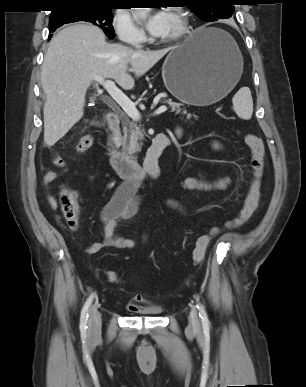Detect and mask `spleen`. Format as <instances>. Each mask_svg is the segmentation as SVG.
<instances>
[{"instance_id":"1","label":"spleen","mask_w":306,"mask_h":387,"mask_svg":"<svg viewBox=\"0 0 306 387\" xmlns=\"http://www.w3.org/2000/svg\"><path fill=\"white\" fill-rule=\"evenodd\" d=\"M233 109L244 120L251 119L253 113V100L248 87H242L232 98Z\"/></svg>"}]
</instances>
